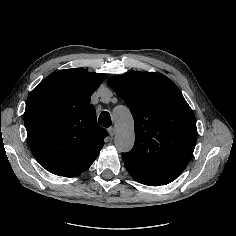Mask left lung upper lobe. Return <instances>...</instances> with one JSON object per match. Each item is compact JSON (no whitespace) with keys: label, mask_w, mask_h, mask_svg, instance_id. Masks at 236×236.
Instances as JSON below:
<instances>
[{"label":"left lung upper lobe","mask_w":236,"mask_h":236,"mask_svg":"<svg viewBox=\"0 0 236 236\" xmlns=\"http://www.w3.org/2000/svg\"><path fill=\"white\" fill-rule=\"evenodd\" d=\"M135 123V143L123 153L125 165L168 184L189 163L196 144L194 113L179 88L154 72H131L108 81Z\"/></svg>","instance_id":"left-lung-upper-lobe-1"}]
</instances>
